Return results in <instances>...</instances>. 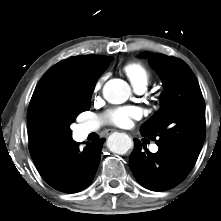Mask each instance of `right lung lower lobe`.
Here are the masks:
<instances>
[{
    "mask_svg": "<svg viewBox=\"0 0 221 221\" xmlns=\"http://www.w3.org/2000/svg\"><path fill=\"white\" fill-rule=\"evenodd\" d=\"M105 139L88 142L83 150L71 140L62 148L49 153L38 162L36 168L42 178L54 189L75 193L86 188L93 180L100 162Z\"/></svg>",
    "mask_w": 221,
    "mask_h": 221,
    "instance_id": "obj_1",
    "label": "right lung lower lobe"
}]
</instances>
